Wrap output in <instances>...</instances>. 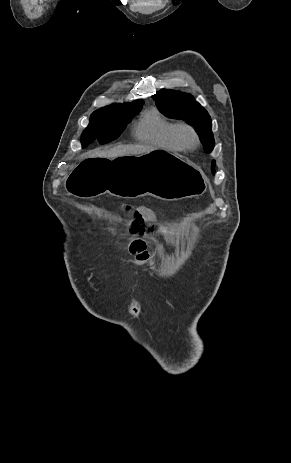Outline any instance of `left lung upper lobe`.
I'll list each match as a JSON object with an SVG mask.
<instances>
[{"instance_id": "left-lung-upper-lobe-1", "label": "left lung upper lobe", "mask_w": 291, "mask_h": 463, "mask_svg": "<svg viewBox=\"0 0 291 463\" xmlns=\"http://www.w3.org/2000/svg\"><path fill=\"white\" fill-rule=\"evenodd\" d=\"M152 98L165 116L184 120L194 126L207 153L213 150L215 142L210 115L194 100L192 95L176 90L162 89L156 92ZM212 166L214 173L215 161H213Z\"/></svg>"}]
</instances>
